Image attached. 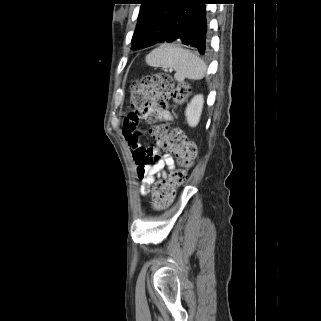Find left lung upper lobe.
Here are the masks:
<instances>
[{"instance_id":"1","label":"left lung upper lobe","mask_w":321,"mask_h":321,"mask_svg":"<svg viewBox=\"0 0 321 321\" xmlns=\"http://www.w3.org/2000/svg\"><path fill=\"white\" fill-rule=\"evenodd\" d=\"M141 8L132 38V48L142 49L160 43L166 24L178 0H139Z\"/></svg>"}]
</instances>
